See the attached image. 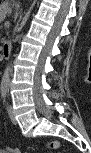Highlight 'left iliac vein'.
Segmentation results:
<instances>
[{
    "label": "left iliac vein",
    "mask_w": 91,
    "mask_h": 153,
    "mask_svg": "<svg viewBox=\"0 0 91 153\" xmlns=\"http://www.w3.org/2000/svg\"><path fill=\"white\" fill-rule=\"evenodd\" d=\"M8 114L12 123L17 124V121L14 116V112L11 105H8Z\"/></svg>",
    "instance_id": "4c4485c4"
}]
</instances>
